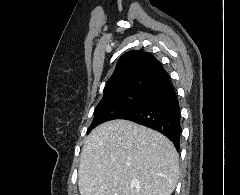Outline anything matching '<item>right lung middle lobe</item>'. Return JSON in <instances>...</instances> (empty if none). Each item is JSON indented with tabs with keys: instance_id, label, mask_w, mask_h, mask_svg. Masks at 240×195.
<instances>
[{
	"instance_id": "dd1d6c3e",
	"label": "right lung middle lobe",
	"mask_w": 240,
	"mask_h": 195,
	"mask_svg": "<svg viewBox=\"0 0 240 195\" xmlns=\"http://www.w3.org/2000/svg\"><path fill=\"white\" fill-rule=\"evenodd\" d=\"M146 94L144 92H121L104 96L94 111V119L88 132L103 122L119 119L138 106Z\"/></svg>"
}]
</instances>
